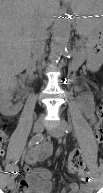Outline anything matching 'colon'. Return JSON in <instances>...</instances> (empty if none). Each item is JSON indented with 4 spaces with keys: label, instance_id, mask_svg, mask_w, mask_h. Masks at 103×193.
Masks as SVG:
<instances>
[{
    "label": "colon",
    "instance_id": "1",
    "mask_svg": "<svg viewBox=\"0 0 103 193\" xmlns=\"http://www.w3.org/2000/svg\"><path fill=\"white\" fill-rule=\"evenodd\" d=\"M103 108L100 106L97 109L96 116L93 117L95 124V140L98 144L103 143V123H102ZM5 131L1 132L0 145L4 143ZM69 170L73 173H82L85 170V160L79 150L74 151L69 159ZM16 193V192H15Z\"/></svg>",
    "mask_w": 103,
    "mask_h": 193
}]
</instances>
